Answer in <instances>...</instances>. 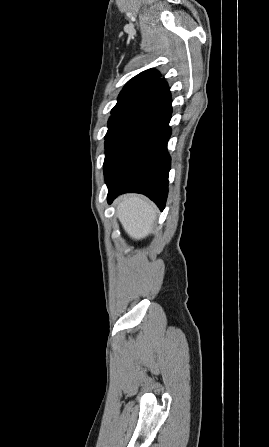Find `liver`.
<instances>
[{
    "label": "liver",
    "mask_w": 269,
    "mask_h": 447,
    "mask_svg": "<svg viewBox=\"0 0 269 447\" xmlns=\"http://www.w3.org/2000/svg\"><path fill=\"white\" fill-rule=\"evenodd\" d=\"M155 214L154 206L137 194L123 196L118 202L117 218L134 239L146 237L153 231Z\"/></svg>",
    "instance_id": "liver-1"
}]
</instances>
